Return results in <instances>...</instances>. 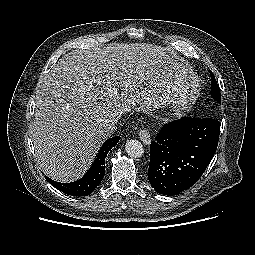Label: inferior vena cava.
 <instances>
[{
	"label": "inferior vena cava",
	"mask_w": 255,
	"mask_h": 255,
	"mask_svg": "<svg viewBox=\"0 0 255 255\" xmlns=\"http://www.w3.org/2000/svg\"><path fill=\"white\" fill-rule=\"evenodd\" d=\"M120 118H121V115L117 116L116 118H114V119L111 121V126H110L111 130H114L115 124L120 120Z\"/></svg>",
	"instance_id": "602c4592"
}]
</instances>
